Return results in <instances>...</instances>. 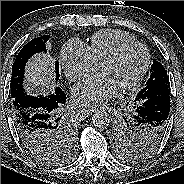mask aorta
Listing matches in <instances>:
<instances>
[{
    "label": "aorta",
    "instance_id": "obj_1",
    "mask_svg": "<svg viewBox=\"0 0 184 184\" xmlns=\"http://www.w3.org/2000/svg\"><path fill=\"white\" fill-rule=\"evenodd\" d=\"M92 124L99 129H103L110 124V115L106 111H97L92 116Z\"/></svg>",
    "mask_w": 184,
    "mask_h": 184
}]
</instances>
